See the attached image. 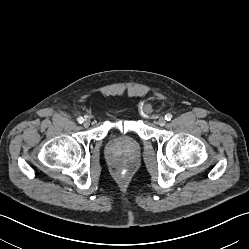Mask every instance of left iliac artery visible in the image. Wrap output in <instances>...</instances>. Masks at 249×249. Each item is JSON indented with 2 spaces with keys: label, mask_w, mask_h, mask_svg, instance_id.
<instances>
[{
  "label": "left iliac artery",
  "mask_w": 249,
  "mask_h": 249,
  "mask_svg": "<svg viewBox=\"0 0 249 249\" xmlns=\"http://www.w3.org/2000/svg\"><path fill=\"white\" fill-rule=\"evenodd\" d=\"M171 119H172V114L167 113V114L165 115V120L170 121Z\"/></svg>",
  "instance_id": "left-iliac-artery-1"
}]
</instances>
